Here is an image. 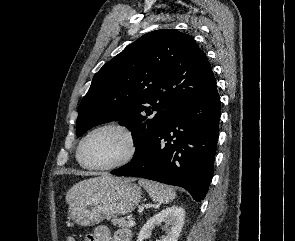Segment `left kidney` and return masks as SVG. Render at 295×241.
I'll use <instances>...</instances> for the list:
<instances>
[{"label":"left kidney","instance_id":"1","mask_svg":"<svg viewBox=\"0 0 295 241\" xmlns=\"http://www.w3.org/2000/svg\"><path fill=\"white\" fill-rule=\"evenodd\" d=\"M185 218V210L179 206L168 207L158 214L150 218L146 224L141 228L137 241H143L150 237L152 230L155 226L165 222L170 225L166 236L162 237L159 241H177L182 230Z\"/></svg>","mask_w":295,"mask_h":241}]
</instances>
